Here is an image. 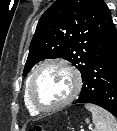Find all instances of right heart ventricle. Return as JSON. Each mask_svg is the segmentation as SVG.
<instances>
[{
    "label": "right heart ventricle",
    "mask_w": 117,
    "mask_h": 131,
    "mask_svg": "<svg viewBox=\"0 0 117 131\" xmlns=\"http://www.w3.org/2000/svg\"><path fill=\"white\" fill-rule=\"evenodd\" d=\"M27 83H28V80L25 83L24 92H23L24 105H25L27 111L29 112V114L37 115L39 112L32 106V104H31V102H30V100L28 98Z\"/></svg>",
    "instance_id": "obj_1"
}]
</instances>
